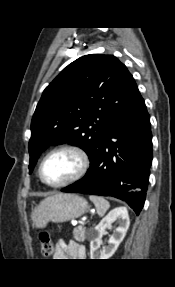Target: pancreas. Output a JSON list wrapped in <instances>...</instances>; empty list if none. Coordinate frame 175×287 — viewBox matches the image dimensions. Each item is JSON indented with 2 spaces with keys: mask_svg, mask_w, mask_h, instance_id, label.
I'll use <instances>...</instances> for the list:
<instances>
[{
  "mask_svg": "<svg viewBox=\"0 0 175 287\" xmlns=\"http://www.w3.org/2000/svg\"><path fill=\"white\" fill-rule=\"evenodd\" d=\"M85 232H86V229L83 226H78V227L74 228V231H73L74 239L79 241V242H84L85 238H86Z\"/></svg>",
  "mask_w": 175,
  "mask_h": 287,
  "instance_id": "obj_1",
  "label": "pancreas"
}]
</instances>
